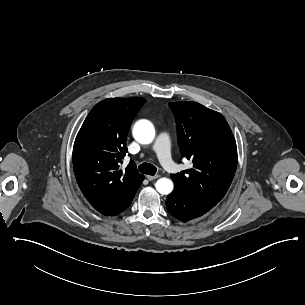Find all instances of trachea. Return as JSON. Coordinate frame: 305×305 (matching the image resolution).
Here are the masks:
<instances>
[{
	"instance_id": "obj_1",
	"label": "trachea",
	"mask_w": 305,
	"mask_h": 305,
	"mask_svg": "<svg viewBox=\"0 0 305 305\" xmlns=\"http://www.w3.org/2000/svg\"><path fill=\"white\" fill-rule=\"evenodd\" d=\"M138 170L140 173L147 174V175H155L157 169L153 164L150 163H142L139 165Z\"/></svg>"
}]
</instances>
